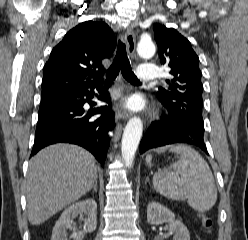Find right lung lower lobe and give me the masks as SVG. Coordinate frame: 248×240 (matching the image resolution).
Returning a JSON list of instances; mask_svg holds the SVG:
<instances>
[{
  "mask_svg": "<svg viewBox=\"0 0 248 240\" xmlns=\"http://www.w3.org/2000/svg\"><path fill=\"white\" fill-rule=\"evenodd\" d=\"M102 84L90 85L76 91L41 98L35 142L31 156L54 143L65 142L80 145L89 150L104 165L109 148L108 132L113 130L114 112L108 92L99 99L108 103L89 110L83 108L94 97V90L101 92Z\"/></svg>",
  "mask_w": 248,
  "mask_h": 240,
  "instance_id": "98d812e1",
  "label": "right lung lower lobe"
}]
</instances>
